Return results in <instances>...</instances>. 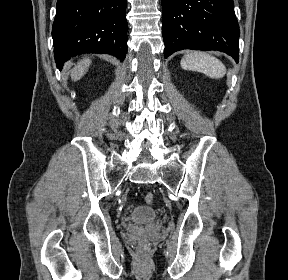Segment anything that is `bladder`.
I'll return each instance as SVG.
<instances>
[{
    "mask_svg": "<svg viewBox=\"0 0 288 280\" xmlns=\"http://www.w3.org/2000/svg\"><path fill=\"white\" fill-rule=\"evenodd\" d=\"M129 218L135 223L147 224L157 218V212L152 207L138 205L131 210Z\"/></svg>",
    "mask_w": 288,
    "mask_h": 280,
    "instance_id": "bladder-1",
    "label": "bladder"
}]
</instances>
